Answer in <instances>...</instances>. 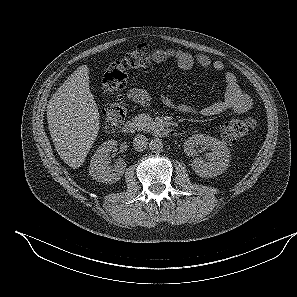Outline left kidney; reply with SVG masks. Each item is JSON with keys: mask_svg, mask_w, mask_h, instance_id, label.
Returning a JSON list of instances; mask_svg holds the SVG:
<instances>
[{"mask_svg": "<svg viewBox=\"0 0 297 297\" xmlns=\"http://www.w3.org/2000/svg\"><path fill=\"white\" fill-rule=\"evenodd\" d=\"M205 146L209 152L205 153L204 161L196 156L195 147ZM184 152L187 156L195 157L192 161L193 171L202 178L215 177L222 174L229 165L230 150L220 140L203 134H196L184 142Z\"/></svg>", "mask_w": 297, "mask_h": 297, "instance_id": "1", "label": "left kidney"}]
</instances>
